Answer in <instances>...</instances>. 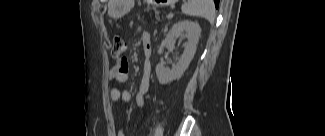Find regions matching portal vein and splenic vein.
<instances>
[{
    "instance_id": "18ae733b",
    "label": "portal vein and splenic vein",
    "mask_w": 325,
    "mask_h": 136,
    "mask_svg": "<svg viewBox=\"0 0 325 136\" xmlns=\"http://www.w3.org/2000/svg\"><path fill=\"white\" fill-rule=\"evenodd\" d=\"M171 17H173V14H172V13H169V14L167 15V18H171Z\"/></svg>"
}]
</instances>
